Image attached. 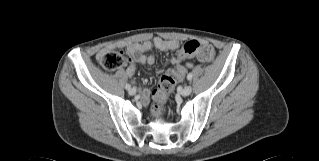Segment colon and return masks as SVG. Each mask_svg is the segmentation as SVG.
Masks as SVG:
<instances>
[{
    "instance_id": "5ec220e1",
    "label": "colon",
    "mask_w": 319,
    "mask_h": 161,
    "mask_svg": "<svg viewBox=\"0 0 319 161\" xmlns=\"http://www.w3.org/2000/svg\"><path fill=\"white\" fill-rule=\"evenodd\" d=\"M201 61H213L216 58L215 51L210 46L201 48L199 41L188 40L182 44L179 59L195 56ZM128 62V57L122 51L110 50L101 55L99 59L100 65L107 71H116L123 68ZM182 68L177 67L166 72L159 81L158 87L154 92L156 105L154 106V114L158 118L164 117V105L168 99V95L173 91L181 81Z\"/></svg>"
}]
</instances>
